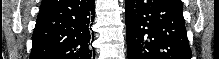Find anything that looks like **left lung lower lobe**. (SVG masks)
<instances>
[{
    "label": "left lung lower lobe",
    "instance_id": "1",
    "mask_svg": "<svg viewBox=\"0 0 219 59\" xmlns=\"http://www.w3.org/2000/svg\"><path fill=\"white\" fill-rule=\"evenodd\" d=\"M128 59H191L180 0H125Z\"/></svg>",
    "mask_w": 219,
    "mask_h": 59
}]
</instances>
